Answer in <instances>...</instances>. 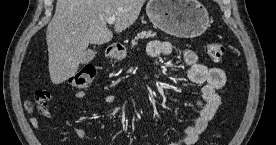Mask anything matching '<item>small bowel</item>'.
<instances>
[{
	"mask_svg": "<svg viewBox=\"0 0 276 145\" xmlns=\"http://www.w3.org/2000/svg\"><path fill=\"white\" fill-rule=\"evenodd\" d=\"M172 53L173 47L166 41H152L149 43L147 49L148 56L152 58L160 55H170ZM184 56L188 65V79L195 84L203 85V87L200 99L197 102L199 110L198 117L192 125L185 129L184 135L172 145H195L197 143L199 137L206 130L220 106L218 90L222 88L226 81L225 73L221 68L208 67L200 63L197 55L193 51H186ZM75 96L78 99H84L86 93L77 91ZM116 100V96L112 94L105 95L102 99L105 104H113ZM30 124L36 129L39 127L40 121L38 118L32 117L30 119ZM72 132L74 137L79 139L88 137V131L84 128H74Z\"/></svg>",
	"mask_w": 276,
	"mask_h": 145,
	"instance_id": "c3829d8e",
	"label": "small bowel"
}]
</instances>
